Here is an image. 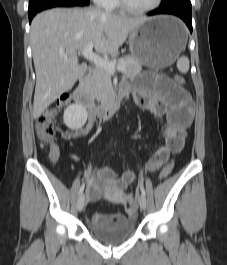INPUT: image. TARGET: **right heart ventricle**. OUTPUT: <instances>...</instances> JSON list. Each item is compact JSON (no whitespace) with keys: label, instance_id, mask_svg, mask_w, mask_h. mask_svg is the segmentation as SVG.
Instances as JSON below:
<instances>
[{"label":"right heart ventricle","instance_id":"obj_1","mask_svg":"<svg viewBox=\"0 0 227 265\" xmlns=\"http://www.w3.org/2000/svg\"><path fill=\"white\" fill-rule=\"evenodd\" d=\"M119 6H120V4H119L118 0H112L109 9H116V8H118Z\"/></svg>","mask_w":227,"mask_h":265}]
</instances>
